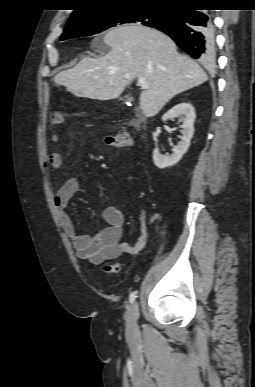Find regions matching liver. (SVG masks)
<instances>
[{"instance_id": "6515ba94", "label": "liver", "mask_w": 255, "mask_h": 387, "mask_svg": "<svg viewBox=\"0 0 255 387\" xmlns=\"http://www.w3.org/2000/svg\"><path fill=\"white\" fill-rule=\"evenodd\" d=\"M103 42L111 50L102 57H84L76 66L58 73L54 80L77 97L97 100L118 98L136 78L147 87L140 95L146 117L155 116L176 95L207 81L204 70L190 57L178 53L164 33L142 25L110 30Z\"/></svg>"}]
</instances>
